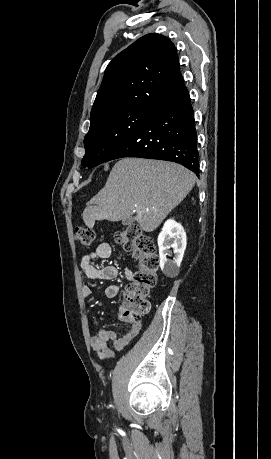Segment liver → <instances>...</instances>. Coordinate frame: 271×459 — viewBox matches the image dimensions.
I'll return each mask as SVG.
<instances>
[{"instance_id": "6515ba94", "label": "liver", "mask_w": 271, "mask_h": 459, "mask_svg": "<svg viewBox=\"0 0 271 459\" xmlns=\"http://www.w3.org/2000/svg\"><path fill=\"white\" fill-rule=\"evenodd\" d=\"M196 176L180 164L143 158H120L102 190L82 216L87 228L95 220L119 222L136 210L139 226L154 231L191 192Z\"/></svg>"}]
</instances>
